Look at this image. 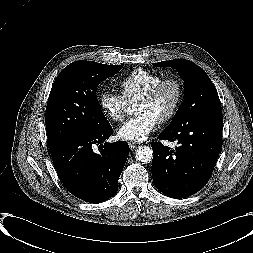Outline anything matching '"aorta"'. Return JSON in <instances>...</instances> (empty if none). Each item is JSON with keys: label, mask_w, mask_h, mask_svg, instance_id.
Returning a JSON list of instances; mask_svg holds the SVG:
<instances>
[{"label": "aorta", "mask_w": 253, "mask_h": 253, "mask_svg": "<svg viewBox=\"0 0 253 253\" xmlns=\"http://www.w3.org/2000/svg\"><path fill=\"white\" fill-rule=\"evenodd\" d=\"M136 160L144 163H148L153 158V151L148 146H140L135 152Z\"/></svg>", "instance_id": "obj_1"}]
</instances>
